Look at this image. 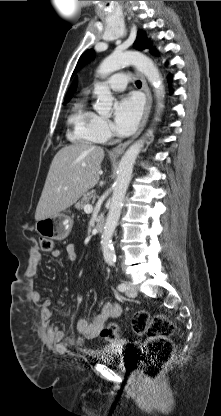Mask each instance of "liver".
<instances>
[{"label":"liver","instance_id":"liver-1","mask_svg":"<svg viewBox=\"0 0 221 416\" xmlns=\"http://www.w3.org/2000/svg\"><path fill=\"white\" fill-rule=\"evenodd\" d=\"M103 158L101 147L86 143L60 149L51 162L35 220L59 214L93 188L100 179Z\"/></svg>","mask_w":221,"mask_h":416}]
</instances>
